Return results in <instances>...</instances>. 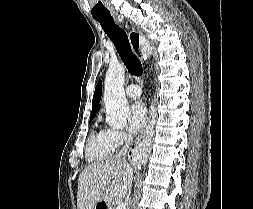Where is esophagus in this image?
I'll use <instances>...</instances> for the list:
<instances>
[{
	"label": "esophagus",
	"mask_w": 253,
	"mask_h": 209,
	"mask_svg": "<svg viewBox=\"0 0 253 209\" xmlns=\"http://www.w3.org/2000/svg\"><path fill=\"white\" fill-rule=\"evenodd\" d=\"M117 16V15H116ZM118 20L119 17H117ZM129 38H130V42H131V45H132V48L134 51H136L134 48L136 46H138V50L140 49L141 47V40H142V36L140 33L136 32L135 30H131L129 32ZM155 121V109H154V104L151 103L150 107H149V118H148V124H147V128H150L151 126H153V123ZM146 128V129H147ZM146 129L141 133L140 136H138L135 140V143L133 146H131L129 152H128V157L129 159H131L132 162H134V151H135V146L140 142V140L145 136L146 134Z\"/></svg>",
	"instance_id": "obj_1"
}]
</instances>
